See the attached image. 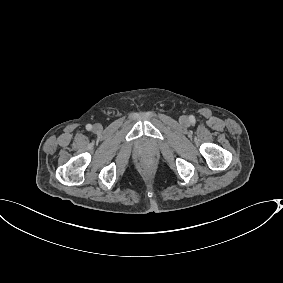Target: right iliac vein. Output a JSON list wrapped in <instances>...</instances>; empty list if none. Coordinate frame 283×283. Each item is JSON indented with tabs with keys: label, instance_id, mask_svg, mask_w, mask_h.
Returning <instances> with one entry per match:
<instances>
[{
	"label": "right iliac vein",
	"instance_id": "1",
	"mask_svg": "<svg viewBox=\"0 0 283 283\" xmlns=\"http://www.w3.org/2000/svg\"><path fill=\"white\" fill-rule=\"evenodd\" d=\"M101 130H102V125H101V124L96 123V124L93 125V131H94L95 133H98V132H100Z\"/></svg>",
	"mask_w": 283,
	"mask_h": 283
}]
</instances>
